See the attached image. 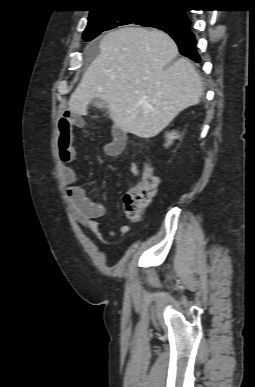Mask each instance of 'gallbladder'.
Returning <instances> with one entry per match:
<instances>
[{"mask_svg":"<svg viewBox=\"0 0 255 387\" xmlns=\"http://www.w3.org/2000/svg\"><path fill=\"white\" fill-rule=\"evenodd\" d=\"M91 104L97 108H104V107H107V103L101 99H98V98H94L92 101H91Z\"/></svg>","mask_w":255,"mask_h":387,"instance_id":"1","label":"gallbladder"}]
</instances>
